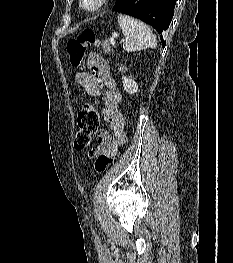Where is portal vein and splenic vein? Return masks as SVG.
<instances>
[{"label": "portal vein and splenic vein", "instance_id": "portal-vein-and-splenic-vein-1", "mask_svg": "<svg viewBox=\"0 0 233 263\" xmlns=\"http://www.w3.org/2000/svg\"><path fill=\"white\" fill-rule=\"evenodd\" d=\"M109 41H110V43L112 44V45H114L115 44V39H114V37L112 36L110 39H109ZM122 41H124V40H122Z\"/></svg>", "mask_w": 233, "mask_h": 263}]
</instances>
